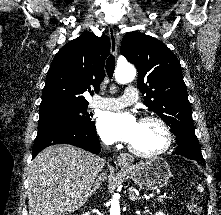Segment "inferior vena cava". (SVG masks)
<instances>
[{
    "instance_id": "602c4592",
    "label": "inferior vena cava",
    "mask_w": 221,
    "mask_h": 215,
    "mask_svg": "<svg viewBox=\"0 0 221 215\" xmlns=\"http://www.w3.org/2000/svg\"><path fill=\"white\" fill-rule=\"evenodd\" d=\"M101 161H103V159H101ZM104 162V161H103ZM102 176V180H103V177H104V175H101Z\"/></svg>"
}]
</instances>
